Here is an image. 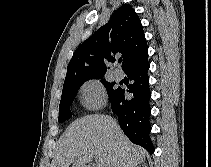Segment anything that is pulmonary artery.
Segmentation results:
<instances>
[{"instance_id": "e3ab8cb5", "label": "pulmonary artery", "mask_w": 211, "mask_h": 167, "mask_svg": "<svg viewBox=\"0 0 211 167\" xmlns=\"http://www.w3.org/2000/svg\"><path fill=\"white\" fill-rule=\"evenodd\" d=\"M113 74H114V77L118 80L122 79V77H123V74H122L121 70H119V69H115Z\"/></svg>"}]
</instances>
